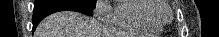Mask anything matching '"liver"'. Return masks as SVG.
Instances as JSON below:
<instances>
[{"instance_id": "liver-1", "label": "liver", "mask_w": 219, "mask_h": 37, "mask_svg": "<svg viewBox=\"0 0 219 37\" xmlns=\"http://www.w3.org/2000/svg\"><path fill=\"white\" fill-rule=\"evenodd\" d=\"M100 24L75 11H60L43 19L35 37H100Z\"/></svg>"}]
</instances>
